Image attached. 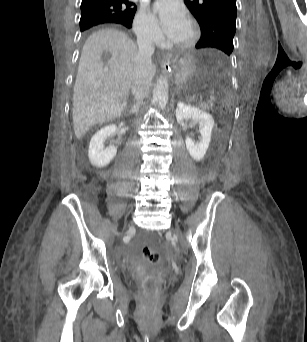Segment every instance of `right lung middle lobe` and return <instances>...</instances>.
Here are the masks:
<instances>
[{"instance_id":"obj_1","label":"right lung middle lobe","mask_w":307,"mask_h":342,"mask_svg":"<svg viewBox=\"0 0 307 342\" xmlns=\"http://www.w3.org/2000/svg\"><path fill=\"white\" fill-rule=\"evenodd\" d=\"M119 14L107 9L81 10L80 30H86L92 26L111 22L119 18Z\"/></svg>"}]
</instances>
